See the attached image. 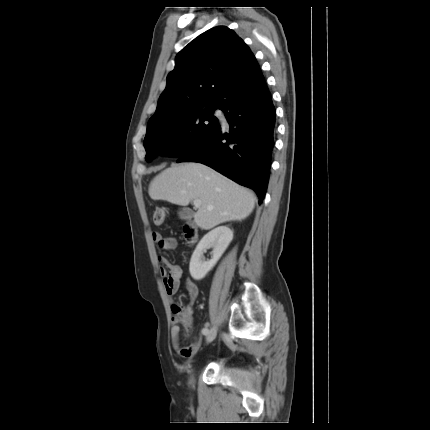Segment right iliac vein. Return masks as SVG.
<instances>
[{"label": "right iliac vein", "mask_w": 430, "mask_h": 430, "mask_svg": "<svg viewBox=\"0 0 430 430\" xmlns=\"http://www.w3.org/2000/svg\"><path fill=\"white\" fill-rule=\"evenodd\" d=\"M216 335H217L216 328L210 329V331L206 334V342L207 343L212 342L216 338Z\"/></svg>", "instance_id": "63e3f726"}]
</instances>
